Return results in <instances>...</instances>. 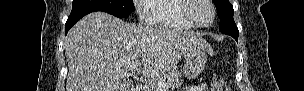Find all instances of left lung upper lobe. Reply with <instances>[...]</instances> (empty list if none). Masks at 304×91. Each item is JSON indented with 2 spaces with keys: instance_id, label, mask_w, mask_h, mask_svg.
Listing matches in <instances>:
<instances>
[{
  "instance_id": "1",
  "label": "left lung upper lobe",
  "mask_w": 304,
  "mask_h": 91,
  "mask_svg": "<svg viewBox=\"0 0 304 91\" xmlns=\"http://www.w3.org/2000/svg\"><path fill=\"white\" fill-rule=\"evenodd\" d=\"M216 6L220 18L219 31L224 34H239L238 28L234 22L233 6L228 0H212Z\"/></svg>"
}]
</instances>
